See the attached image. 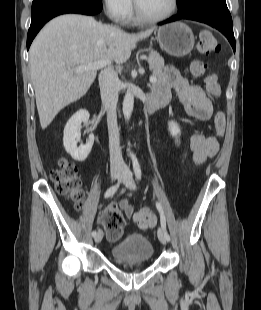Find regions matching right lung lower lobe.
<instances>
[{
  "label": "right lung lower lobe",
  "mask_w": 261,
  "mask_h": 310,
  "mask_svg": "<svg viewBox=\"0 0 261 310\" xmlns=\"http://www.w3.org/2000/svg\"><path fill=\"white\" fill-rule=\"evenodd\" d=\"M102 4L87 0H45L32 5L31 25L27 35V49L42 26L55 16L66 13L96 15Z\"/></svg>",
  "instance_id": "1"
}]
</instances>
